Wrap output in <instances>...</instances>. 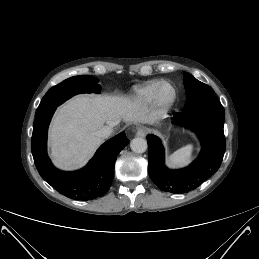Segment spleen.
Returning a JSON list of instances; mask_svg holds the SVG:
<instances>
[{
  "label": "spleen",
  "mask_w": 259,
  "mask_h": 259,
  "mask_svg": "<svg viewBox=\"0 0 259 259\" xmlns=\"http://www.w3.org/2000/svg\"><path fill=\"white\" fill-rule=\"evenodd\" d=\"M193 150L194 146L192 144L178 149L167 158L168 165L171 167L186 166L192 159Z\"/></svg>",
  "instance_id": "obj_1"
}]
</instances>
